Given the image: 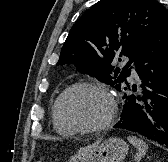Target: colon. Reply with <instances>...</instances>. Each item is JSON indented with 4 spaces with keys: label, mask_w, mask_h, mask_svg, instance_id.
Masks as SVG:
<instances>
[{
    "label": "colon",
    "mask_w": 168,
    "mask_h": 162,
    "mask_svg": "<svg viewBox=\"0 0 168 162\" xmlns=\"http://www.w3.org/2000/svg\"><path fill=\"white\" fill-rule=\"evenodd\" d=\"M37 162H44V158H41V159L38 160Z\"/></svg>",
    "instance_id": "5ec220e1"
}]
</instances>
